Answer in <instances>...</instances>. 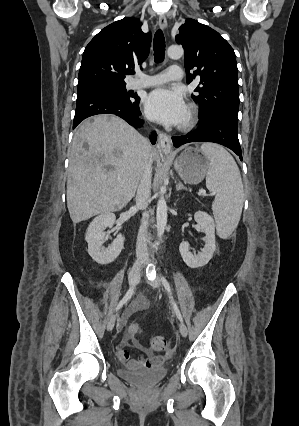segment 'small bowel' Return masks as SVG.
Returning a JSON list of instances; mask_svg holds the SVG:
<instances>
[{
  "mask_svg": "<svg viewBox=\"0 0 299 426\" xmlns=\"http://www.w3.org/2000/svg\"><path fill=\"white\" fill-rule=\"evenodd\" d=\"M146 308L147 301L145 298L139 297L133 302L130 311H141ZM130 346H134L141 350L146 357L132 358L129 351ZM117 356L129 369L155 368L160 366L168 357L167 354L154 355L151 348L139 341H125L124 345L118 349Z\"/></svg>",
  "mask_w": 299,
  "mask_h": 426,
  "instance_id": "1",
  "label": "small bowel"
}]
</instances>
